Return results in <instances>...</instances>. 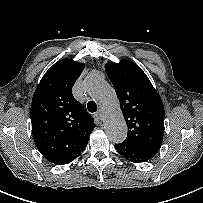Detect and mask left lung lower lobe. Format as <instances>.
Returning a JSON list of instances; mask_svg holds the SVG:
<instances>
[{
    "label": "left lung lower lobe",
    "instance_id": "0a47b994",
    "mask_svg": "<svg viewBox=\"0 0 203 203\" xmlns=\"http://www.w3.org/2000/svg\"><path fill=\"white\" fill-rule=\"evenodd\" d=\"M116 150L131 162H145L151 159L154 155L141 151L127 143L115 144Z\"/></svg>",
    "mask_w": 203,
    "mask_h": 203
}]
</instances>
